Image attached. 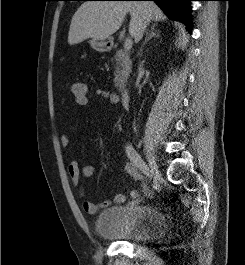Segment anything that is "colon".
Wrapping results in <instances>:
<instances>
[{"label": "colon", "mask_w": 245, "mask_h": 265, "mask_svg": "<svg viewBox=\"0 0 245 265\" xmlns=\"http://www.w3.org/2000/svg\"><path fill=\"white\" fill-rule=\"evenodd\" d=\"M70 92L74 99V102L78 106H85L89 102L87 86L79 81H75L70 86Z\"/></svg>", "instance_id": "colon-1"}]
</instances>
